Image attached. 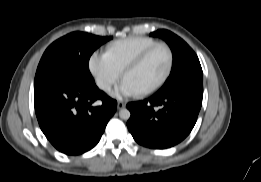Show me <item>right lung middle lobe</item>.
<instances>
[{
    "label": "right lung middle lobe",
    "mask_w": 261,
    "mask_h": 182,
    "mask_svg": "<svg viewBox=\"0 0 261 182\" xmlns=\"http://www.w3.org/2000/svg\"><path fill=\"white\" fill-rule=\"evenodd\" d=\"M110 39L111 36L73 32L56 40L44 52L34 83L54 76H66L83 88L96 86L89 71V59L99 46Z\"/></svg>",
    "instance_id": "obj_1"
}]
</instances>
